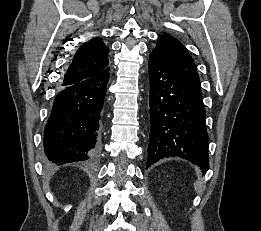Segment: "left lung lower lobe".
Masks as SVG:
<instances>
[{"mask_svg": "<svg viewBox=\"0 0 261 231\" xmlns=\"http://www.w3.org/2000/svg\"><path fill=\"white\" fill-rule=\"evenodd\" d=\"M150 134L147 167L160 158L178 156L209 167L208 134L201 90L184 81L150 55Z\"/></svg>", "mask_w": 261, "mask_h": 231, "instance_id": "left-lung-lower-lobe-1", "label": "left lung lower lobe"}]
</instances>
